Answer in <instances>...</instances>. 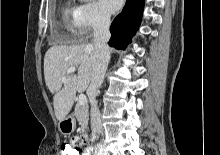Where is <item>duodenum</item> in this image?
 <instances>
[{
  "mask_svg": "<svg viewBox=\"0 0 220 155\" xmlns=\"http://www.w3.org/2000/svg\"><path fill=\"white\" fill-rule=\"evenodd\" d=\"M84 136H85V138H86L85 140H88V139H89V137H88V135H87V134H85ZM85 150H86V155H89V154H90V152H91L90 147H87V146H86V147H85Z\"/></svg>",
  "mask_w": 220,
  "mask_h": 155,
  "instance_id": "1",
  "label": "duodenum"
}]
</instances>
